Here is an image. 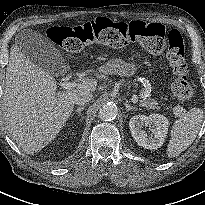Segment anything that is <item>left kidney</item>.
<instances>
[{
	"label": "left kidney",
	"mask_w": 205,
	"mask_h": 205,
	"mask_svg": "<svg viewBox=\"0 0 205 205\" xmlns=\"http://www.w3.org/2000/svg\"><path fill=\"white\" fill-rule=\"evenodd\" d=\"M151 124L155 125L156 130L152 136L147 137L142 127ZM168 125V119L160 114H151L149 116L136 115L129 121L130 132L134 140L139 146L150 150L158 149L163 145L168 133Z\"/></svg>",
	"instance_id": "1"
}]
</instances>
